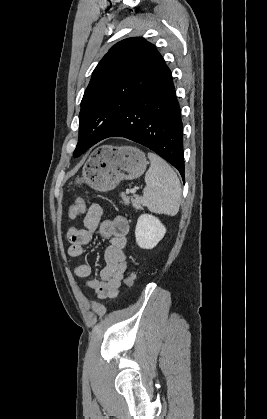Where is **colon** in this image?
<instances>
[{
  "label": "colon",
  "instance_id": "5ec220e1",
  "mask_svg": "<svg viewBox=\"0 0 267 419\" xmlns=\"http://www.w3.org/2000/svg\"><path fill=\"white\" fill-rule=\"evenodd\" d=\"M86 207V203L83 199H78L74 204L69 207L68 214L70 217H76L83 213ZM136 279V274L131 272L126 278L125 282L127 287H132Z\"/></svg>",
  "mask_w": 267,
  "mask_h": 419
}]
</instances>
